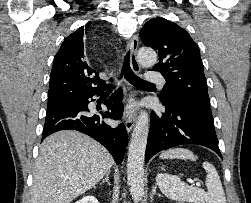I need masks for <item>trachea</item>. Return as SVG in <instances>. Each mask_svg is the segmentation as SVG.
Listing matches in <instances>:
<instances>
[{
  "mask_svg": "<svg viewBox=\"0 0 251 203\" xmlns=\"http://www.w3.org/2000/svg\"><path fill=\"white\" fill-rule=\"evenodd\" d=\"M129 59H130V52H127V54L124 57L123 65L121 68V75L120 77H118V79L124 76V78L134 86H153L154 84L147 82L134 74V72L130 67ZM110 81L113 82L114 79L111 78Z\"/></svg>",
  "mask_w": 251,
  "mask_h": 203,
  "instance_id": "1",
  "label": "trachea"
}]
</instances>
